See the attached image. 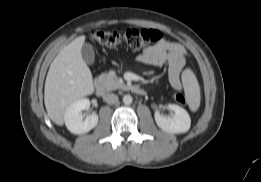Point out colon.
<instances>
[{"label": "colon", "mask_w": 261, "mask_h": 182, "mask_svg": "<svg viewBox=\"0 0 261 182\" xmlns=\"http://www.w3.org/2000/svg\"><path fill=\"white\" fill-rule=\"evenodd\" d=\"M161 38V32L155 29L129 28L122 32L94 31L92 33V39L100 45L107 47L124 45L131 50L147 48L159 42ZM175 99L179 103L185 102L184 96L181 94H176Z\"/></svg>", "instance_id": "1"}]
</instances>
